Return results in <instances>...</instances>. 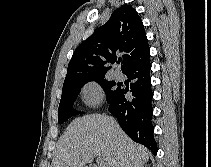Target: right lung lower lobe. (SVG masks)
Instances as JSON below:
<instances>
[{
	"instance_id": "right-lung-lower-lobe-1",
	"label": "right lung lower lobe",
	"mask_w": 211,
	"mask_h": 167,
	"mask_svg": "<svg viewBox=\"0 0 211 167\" xmlns=\"http://www.w3.org/2000/svg\"><path fill=\"white\" fill-rule=\"evenodd\" d=\"M150 70L151 63L147 56L124 71L123 73L133 83L130 84V88L119 89L109 102V111L133 141L144 145L156 154L158 149L153 137V92ZM127 92L131 93L132 99L126 98Z\"/></svg>"
}]
</instances>
